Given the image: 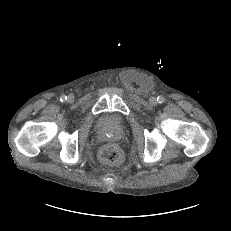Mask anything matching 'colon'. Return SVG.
<instances>
[{"label": "colon", "mask_w": 231, "mask_h": 231, "mask_svg": "<svg viewBox=\"0 0 231 231\" xmlns=\"http://www.w3.org/2000/svg\"><path fill=\"white\" fill-rule=\"evenodd\" d=\"M99 156L101 161L108 165H115L121 159V153L113 143L104 144L99 151Z\"/></svg>", "instance_id": "colon-1"}]
</instances>
